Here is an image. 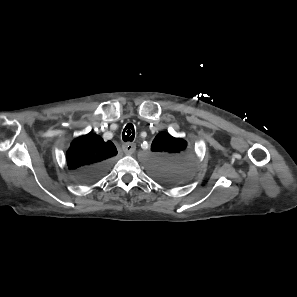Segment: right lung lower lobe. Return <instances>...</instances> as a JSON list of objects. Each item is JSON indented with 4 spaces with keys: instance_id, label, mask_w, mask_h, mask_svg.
<instances>
[{
    "instance_id": "98d812e1",
    "label": "right lung lower lobe",
    "mask_w": 297,
    "mask_h": 297,
    "mask_svg": "<svg viewBox=\"0 0 297 297\" xmlns=\"http://www.w3.org/2000/svg\"><path fill=\"white\" fill-rule=\"evenodd\" d=\"M108 169V162L99 163L90 167H86L77 172L76 179L83 184L91 183L102 177Z\"/></svg>"
}]
</instances>
